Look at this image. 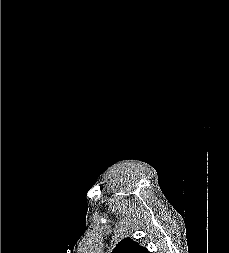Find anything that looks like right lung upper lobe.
<instances>
[{
  "label": "right lung upper lobe",
  "mask_w": 229,
  "mask_h": 253,
  "mask_svg": "<svg viewBox=\"0 0 229 253\" xmlns=\"http://www.w3.org/2000/svg\"><path fill=\"white\" fill-rule=\"evenodd\" d=\"M112 253H150L147 248L140 246L130 238L120 241Z\"/></svg>",
  "instance_id": "1"
}]
</instances>
